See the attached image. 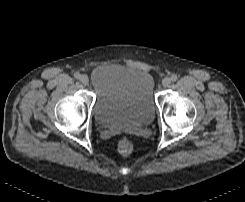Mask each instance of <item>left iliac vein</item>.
<instances>
[{
    "label": "left iliac vein",
    "mask_w": 245,
    "mask_h": 202,
    "mask_svg": "<svg viewBox=\"0 0 245 202\" xmlns=\"http://www.w3.org/2000/svg\"><path fill=\"white\" fill-rule=\"evenodd\" d=\"M170 84H171V79H170L169 77H165V78L162 80V85H163V87H168Z\"/></svg>",
    "instance_id": "4c4485c4"
}]
</instances>
